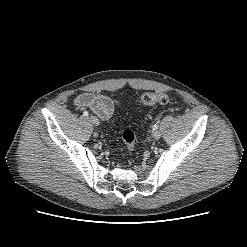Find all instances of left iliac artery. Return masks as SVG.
<instances>
[{"label": "left iliac artery", "mask_w": 247, "mask_h": 247, "mask_svg": "<svg viewBox=\"0 0 247 247\" xmlns=\"http://www.w3.org/2000/svg\"><path fill=\"white\" fill-rule=\"evenodd\" d=\"M153 129L154 130L158 129V125L157 124L153 125Z\"/></svg>", "instance_id": "left-iliac-artery-1"}]
</instances>
